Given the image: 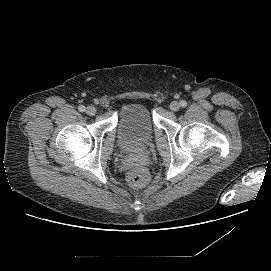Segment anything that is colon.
<instances>
[{"label":"colon","mask_w":271,"mask_h":271,"mask_svg":"<svg viewBox=\"0 0 271 271\" xmlns=\"http://www.w3.org/2000/svg\"><path fill=\"white\" fill-rule=\"evenodd\" d=\"M127 180L133 187L142 188L148 183L149 177L144 169L134 168L128 173Z\"/></svg>","instance_id":"1"}]
</instances>
